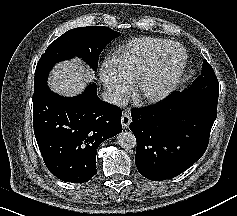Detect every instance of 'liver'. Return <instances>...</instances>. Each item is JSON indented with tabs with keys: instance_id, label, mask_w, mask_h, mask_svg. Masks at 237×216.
Returning <instances> with one entry per match:
<instances>
[{
	"instance_id": "liver-1",
	"label": "liver",
	"mask_w": 237,
	"mask_h": 216,
	"mask_svg": "<svg viewBox=\"0 0 237 216\" xmlns=\"http://www.w3.org/2000/svg\"><path fill=\"white\" fill-rule=\"evenodd\" d=\"M87 71L84 65L65 63L55 69L50 81L51 88L64 94H74L84 86Z\"/></svg>"
}]
</instances>
